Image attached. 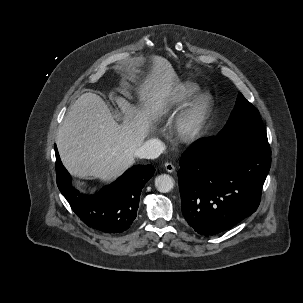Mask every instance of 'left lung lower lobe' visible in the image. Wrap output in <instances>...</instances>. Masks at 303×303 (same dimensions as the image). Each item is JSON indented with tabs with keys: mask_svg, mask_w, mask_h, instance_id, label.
I'll use <instances>...</instances> for the list:
<instances>
[{
	"mask_svg": "<svg viewBox=\"0 0 303 303\" xmlns=\"http://www.w3.org/2000/svg\"><path fill=\"white\" fill-rule=\"evenodd\" d=\"M271 165L269 147L247 139H199L178 171L182 213L203 236L226 231L256 211Z\"/></svg>",
	"mask_w": 303,
	"mask_h": 303,
	"instance_id": "0a47b994",
	"label": "left lung lower lobe"
}]
</instances>
